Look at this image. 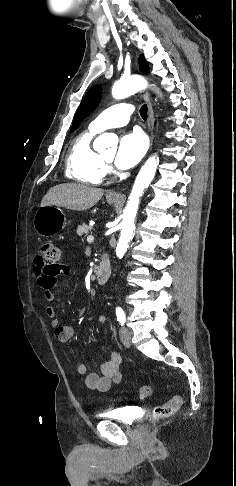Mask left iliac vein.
Instances as JSON below:
<instances>
[{
  "mask_svg": "<svg viewBox=\"0 0 236 486\" xmlns=\"http://www.w3.org/2000/svg\"><path fill=\"white\" fill-rule=\"evenodd\" d=\"M119 333H120V340L122 344L126 347H129L131 345V338H132L131 331L127 327L122 326L120 328Z\"/></svg>",
  "mask_w": 236,
  "mask_h": 486,
  "instance_id": "1",
  "label": "left iliac vein"
}]
</instances>
